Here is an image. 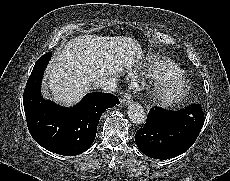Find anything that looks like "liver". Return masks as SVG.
Masks as SVG:
<instances>
[{"label":"liver","instance_id":"1","mask_svg":"<svg viewBox=\"0 0 230 181\" xmlns=\"http://www.w3.org/2000/svg\"><path fill=\"white\" fill-rule=\"evenodd\" d=\"M141 53L140 46L126 37L72 38L46 69L43 92L55 102L71 106L90 91L95 80L131 68Z\"/></svg>","mask_w":230,"mask_h":181}]
</instances>
